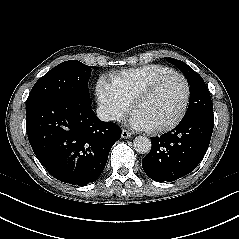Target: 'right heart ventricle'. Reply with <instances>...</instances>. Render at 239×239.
Here are the masks:
<instances>
[{"label": "right heart ventricle", "mask_w": 239, "mask_h": 239, "mask_svg": "<svg viewBox=\"0 0 239 239\" xmlns=\"http://www.w3.org/2000/svg\"><path fill=\"white\" fill-rule=\"evenodd\" d=\"M163 65L148 64L111 75V84L115 91L131 104L135 95L157 76L171 71Z\"/></svg>", "instance_id": "right-heart-ventricle-1"}]
</instances>
